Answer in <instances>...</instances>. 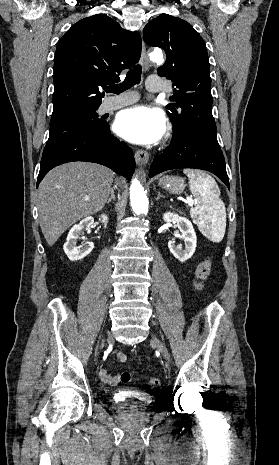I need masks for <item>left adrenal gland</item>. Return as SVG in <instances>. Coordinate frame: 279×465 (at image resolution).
I'll list each match as a JSON object with an SVG mask.
<instances>
[{"label": "left adrenal gland", "mask_w": 279, "mask_h": 465, "mask_svg": "<svg viewBox=\"0 0 279 465\" xmlns=\"http://www.w3.org/2000/svg\"><path fill=\"white\" fill-rule=\"evenodd\" d=\"M160 198H164V196H162L160 191H158L156 201H158Z\"/></svg>", "instance_id": "left-adrenal-gland-1"}]
</instances>
